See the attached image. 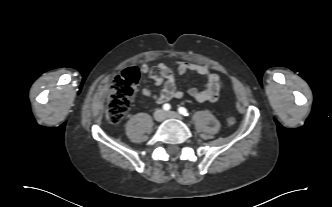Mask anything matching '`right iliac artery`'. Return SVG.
<instances>
[{
	"instance_id": "obj_1",
	"label": "right iliac artery",
	"mask_w": 332,
	"mask_h": 207,
	"mask_svg": "<svg viewBox=\"0 0 332 207\" xmlns=\"http://www.w3.org/2000/svg\"><path fill=\"white\" fill-rule=\"evenodd\" d=\"M170 108H171V106L169 104H167V103L163 105V110L164 111H169Z\"/></svg>"
}]
</instances>
